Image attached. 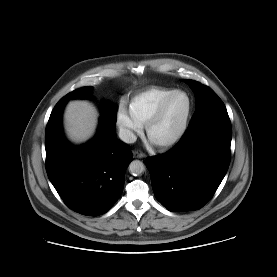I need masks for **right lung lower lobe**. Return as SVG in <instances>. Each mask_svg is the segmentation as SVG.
<instances>
[{"label": "right lung lower lobe", "instance_id": "right-lung-lower-lobe-1", "mask_svg": "<svg viewBox=\"0 0 277 277\" xmlns=\"http://www.w3.org/2000/svg\"><path fill=\"white\" fill-rule=\"evenodd\" d=\"M64 106L56 104L46 127L47 175L69 208L82 215L99 216L121 196L132 153L116 138L115 125L102 117L91 141L71 145L62 131Z\"/></svg>", "mask_w": 277, "mask_h": 277}]
</instances>
